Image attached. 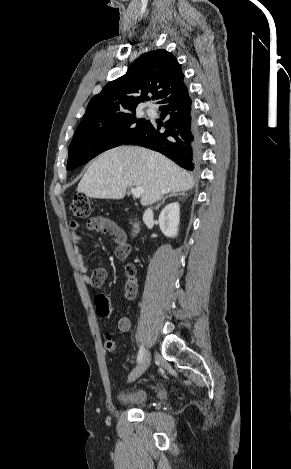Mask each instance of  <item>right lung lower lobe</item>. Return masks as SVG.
Listing matches in <instances>:
<instances>
[{
    "label": "right lung lower lobe",
    "mask_w": 291,
    "mask_h": 469,
    "mask_svg": "<svg viewBox=\"0 0 291 469\" xmlns=\"http://www.w3.org/2000/svg\"><path fill=\"white\" fill-rule=\"evenodd\" d=\"M191 103L186 86L171 93L159 103L161 117L168 119L165 124L157 123V125L148 121L123 144L150 148L166 155L181 167L194 170L198 143Z\"/></svg>",
    "instance_id": "1"
}]
</instances>
